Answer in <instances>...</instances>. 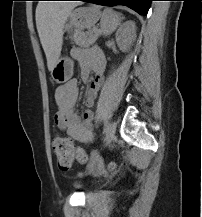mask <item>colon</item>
Listing matches in <instances>:
<instances>
[{"mask_svg":"<svg viewBox=\"0 0 202 217\" xmlns=\"http://www.w3.org/2000/svg\"><path fill=\"white\" fill-rule=\"evenodd\" d=\"M52 147L60 170H69L74 160H77L81 164H84L87 161L83 149L74 147L70 139L65 136H56L53 139ZM116 169L117 165L115 163H110L106 167V170L109 171H114Z\"/></svg>","mask_w":202,"mask_h":217,"instance_id":"5ec220e1","label":"colon"}]
</instances>
